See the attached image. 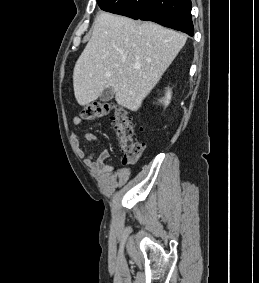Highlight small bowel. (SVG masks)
<instances>
[{
  "mask_svg": "<svg viewBox=\"0 0 259 283\" xmlns=\"http://www.w3.org/2000/svg\"><path fill=\"white\" fill-rule=\"evenodd\" d=\"M82 124V119L79 116H75L72 120L73 127L77 128ZM86 141L91 143L98 142L97 136L92 132H86L84 134ZM74 141L78 142L79 135L77 133L73 134ZM80 153L82 151L80 150ZM109 157V150L106 147H103L97 154H90L84 158V162L90 168L100 171L103 175H109L112 172L113 167L106 162ZM123 172L118 174V177H121Z\"/></svg>",
  "mask_w": 259,
  "mask_h": 283,
  "instance_id": "obj_1",
  "label": "small bowel"
}]
</instances>
